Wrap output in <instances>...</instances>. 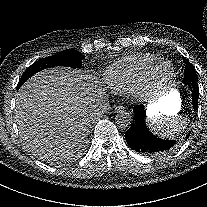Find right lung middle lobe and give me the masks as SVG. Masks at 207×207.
<instances>
[{"label": "right lung middle lobe", "instance_id": "right-lung-middle-lobe-1", "mask_svg": "<svg viewBox=\"0 0 207 207\" xmlns=\"http://www.w3.org/2000/svg\"><path fill=\"white\" fill-rule=\"evenodd\" d=\"M83 59L84 56L80 52L74 49H69L53 56L38 60L34 62L31 66H29L28 69L23 73L17 84V89H19L23 85V83L31 76L45 68L54 66L79 68Z\"/></svg>", "mask_w": 207, "mask_h": 207}]
</instances>
